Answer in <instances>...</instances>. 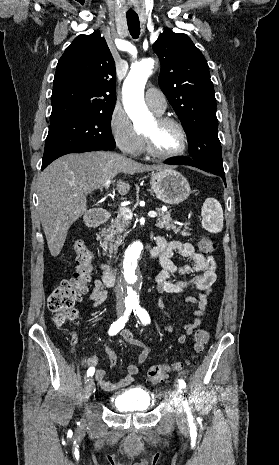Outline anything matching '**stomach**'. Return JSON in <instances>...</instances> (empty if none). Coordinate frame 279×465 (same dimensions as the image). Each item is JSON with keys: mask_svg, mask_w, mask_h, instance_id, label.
<instances>
[{"mask_svg": "<svg viewBox=\"0 0 279 465\" xmlns=\"http://www.w3.org/2000/svg\"><path fill=\"white\" fill-rule=\"evenodd\" d=\"M150 185L156 197L169 205L183 202L191 193L187 179L170 167L159 169L154 173Z\"/></svg>", "mask_w": 279, "mask_h": 465, "instance_id": "obj_1", "label": "stomach"}]
</instances>
